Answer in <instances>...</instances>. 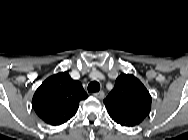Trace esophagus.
Returning <instances> with one entry per match:
<instances>
[{"label": "esophagus", "mask_w": 188, "mask_h": 140, "mask_svg": "<svg viewBox=\"0 0 188 140\" xmlns=\"http://www.w3.org/2000/svg\"><path fill=\"white\" fill-rule=\"evenodd\" d=\"M93 96L98 99H103L105 97V94L103 91H99V92L94 93Z\"/></svg>", "instance_id": "obj_1"}]
</instances>
